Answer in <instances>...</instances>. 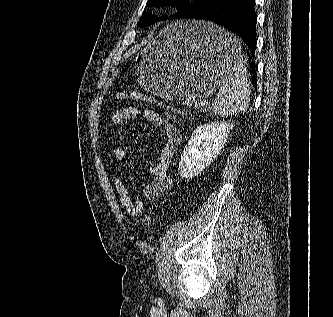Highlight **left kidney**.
I'll list each match as a JSON object with an SVG mask.
<instances>
[{
	"instance_id": "left-kidney-1",
	"label": "left kidney",
	"mask_w": 333,
	"mask_h": 317,
	"mask_svg": "<svg viewBox=\"0 0 333 317\" xmlns=\"http://www.w3.org/2000/svg\"><path fill=\"white\" fill-rule=\"evenodd\" d=\"M233 128L229 122H214L198 126L186 144L179 161L183 178H193L218 156Z\"/></svg>"
}]
</instances>
